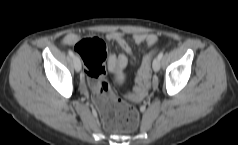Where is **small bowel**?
I'll list each match as a JSON object with an SVG mask.
<instances>
[{
  "instance_id": "obj_1",
  "label": "small bowel",
  "mask_w": 238,
  "mask_h": 145,
  "mask_svg": "<svg viewBox=\"0 0 238 145\" xmlns=\"http://www.w3.org/2000/svg\"><path fill=\"white\" fill-rule=\"evenodd\" d=\"M106 38L109 41L117 43L126 54L133 56V51L122 32L110 31L109 33H107ZM132 38L136 44H146L149 48H153L157 43V36L151 33L135 32L133 33ZM82 39V36H80L79 34L69 33L64 36L62 42L64 45L76 46V44L79 43ZM127 64L128 58L124 54H120L118 56L110 54L108 57V66L112 71L121 70Z\"/></svg>"
}]
</instances>
